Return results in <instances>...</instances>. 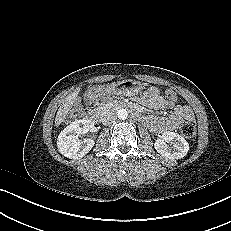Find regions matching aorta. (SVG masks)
Segmentation results:
<instances>
[{"mask_svg": "<svg viewBox=\"0 0 231 231\" xmlns=\"http://www.w3.org/2000/svg\"><path fill=\"white\" fill-rule=\"evenodd\" d=\"M117 116H118L119 119L125 120L127 118V116H128V112H127L126 109H120L117 112Z\"/></svg>", "mask_w": 231, "mask_h": 231, "instance_id": "1", "label": "aorta"}]
</instances>
